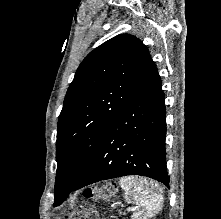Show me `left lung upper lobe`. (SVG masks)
<instances>
[{
  "label": "left lung upper lobe",
  "instance_id": "1",
  "mask_svg": "<svg viewBox=\"0 0 221 219\" xmlns=\"http://www.w3.org/2000/svg\"><path fill=\"white\" fill-rule=\"evenodd\" d=\"M154 67L147 47L128 34L106 41L82 61L58 120L54 206L68 197L106 131Z\"/></svg>",
  "mask_w": 221,
  "mask_h": 219
}]
</instances>
